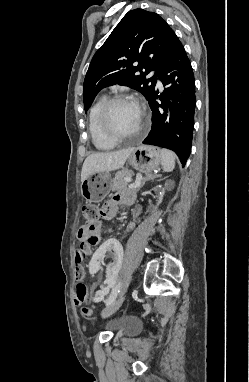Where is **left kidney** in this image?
<instances>
[{
    "label": "left kidney",
    "instance_id": "left-kidney-1",
    "mask_svg": "<svg viewBox=\"0 0 249 382\" xmlns=\"http://www.w3.org/2000/svg\"><path fill=\"white\" fill-rule=\"evenodd\" d=\"M175 182L172 180H167L165 187L158 185L154 188L158 196L152 197L153 203H163V196L166 189H173ZM147 202L138 201V208L147 207ZM127 245H121V241L118 237H107L103 241V245L95 252L92 259L90 260V272L91 273H103V286L100 289L93 292L90 296L91 306H96V302H103L104 298L110 297V292L106 291V287H114L116 282V277L118 276V271L121 268L123 258L125 256V248ZM103 257H113L114 260H108L107 266H103ZM117 267V268H116Z\"/></svg>",
    "mask_w": 249,
    "mask_h": 382
}]
</instances>
